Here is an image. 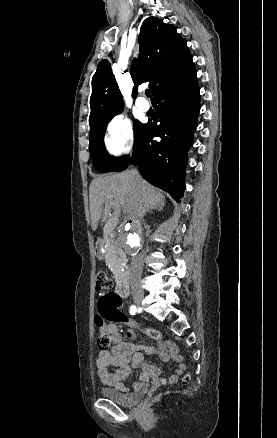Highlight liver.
Listing matches in <instances>:
<instances>
[{
    "label": "liver",
    "instance_id": "6515ba94",
    "mask_svg": "<svg viewBox=\"0 0 277 438\" xmlns=\"http://www.w3.org/2000/svg\"><path fill=\"white\" fill-rule=\"evenodd\" d=\"M130 174H114L108 178H95L90 184V214L92 230H97L98 224L102 218L105 222L110 212L109 208L122 210L125 216L130 220L139 222L145 210H152L159 204H164L165 196L161 192L145 182L140 180L138 186H131ZM105 206V210H103Z\"/></svg>",
    "mask_w": 277,
    "mask_h": 438
}]
</instances>
